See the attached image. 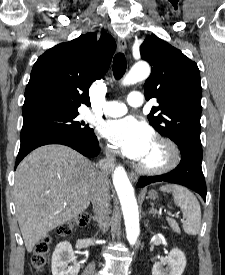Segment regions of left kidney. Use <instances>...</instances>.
Wrapping results in <instances>:
<instances>
[{"mask_svg": "<svg viewBox=\"0 0 225 275\" xmlns=\"http://www.w3.org/2000/svg\"><path fill=\"white\" fill-rule=\"evenodd\" d=\"M167 265L166 268L164 266ZM186 266V257L178 248L170 251L168 257L156 262L152 268V275H182Z\"/></svg>", "mask_w": 225, "mask_h": 275, "instance_id": "1", "label": "left kidney"}]
</instances>
